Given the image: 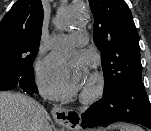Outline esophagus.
<instances>
[{
    "label": "esophagus",
    "instance_id": "34e87169",
    "mask_svg": "<svg viewBox=\"0 0 151 131\" xmlns=\"http://www.w3.org/2000/svg\"><path fill=\"white\" fill-rule=\"evenodd\" d=\"M54 119L71 130H77L81 123V116L77 111L67 110L56 106L51 111Z\"/></svg>",
    "mask_w": 151,
    "mask_h": 131
}]
</instances>
